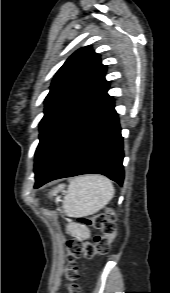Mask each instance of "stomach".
I'll return each instance as SVG.
<instances>
[{
    "instance_id": "0dacf381",
    "label": "stomach",
    "mask_w": 170,
    "mask_h": 293,
    "mask_svg": "<svg viewBox=\"0 0 170 293\" xmlns=\"http://www.w3.org/2000/svg\"><path fill=\"white\" fill-rule=\"evenodd\" d=\"M72 230H73V232H75L78 235H81L84 237L87 236V230L85 228H79L78 230H75V228L73 227Z\"/></svg>"
}]
</instances>
